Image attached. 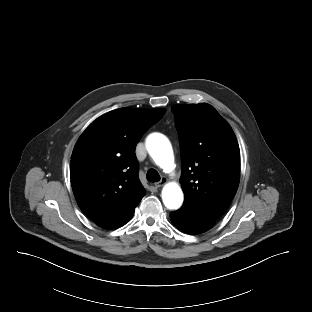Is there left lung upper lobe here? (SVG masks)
<instances>
[{"label": "left lung upper lobe", "instance_id": "1", "mask_svg": "<svg viewBox=\"0 0 312 312\" xmlns=\"http://www.w3.org/2000/svg\"><path fill=\"white\" fill-rule=\"evenodd\" d=\"M171 110L180 137L182 208L217 220L239 185L240 151L235 134L207 103L174 105Z\"/></svg>", "mask_w": 312, "mask_h": 312}]
</instances>
